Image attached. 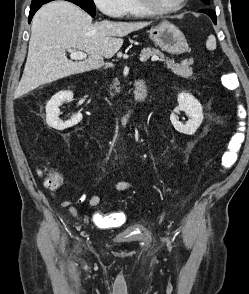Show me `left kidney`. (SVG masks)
<instances>
[{
	"instance_id": "5707ae66",
	"label": "left kidney",
	"mask_w": 249,
	"mask_h": 294,
	"mask_svg": "<svg viewBox=\"0 0 249 294\" xmlns=\"http://www.w3.org/2000/svg\"><path fill=\"white\" fill-rule=\"evenodd\" d=\"M178 106L170 115V120L174 128L183 134L193 135L203 121V111L200 102L189 93H180L178 95ZM180 111L189 116V120L183 124L178 120L177 114Z\"/></svg>"
}]
</instances>
